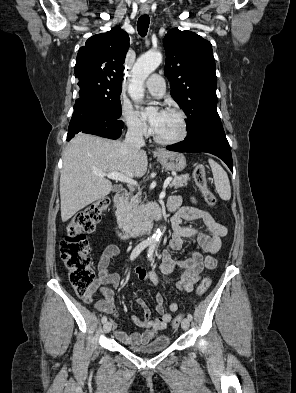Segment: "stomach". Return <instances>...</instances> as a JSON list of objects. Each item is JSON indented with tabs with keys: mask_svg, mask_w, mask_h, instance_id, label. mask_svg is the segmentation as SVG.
Wrapping results in <instances>:
<instances>
[{
	"mask_svg": "<svg viewBox=\"0 0 296 393\" xmlns=\"http://www.w3.org/2000/svg\"><path fill=\"white\" fill-rule=\"evenodd\" d=\"M157 158L167 171L180 172L186 167V158L181 153L160 151L157 154Z\"/></svg>",
	"mask_w": 296,
	"mask_h": 393,
	"instance_id": "obj_1",
	"label": "stomach"
}]
</instances>
